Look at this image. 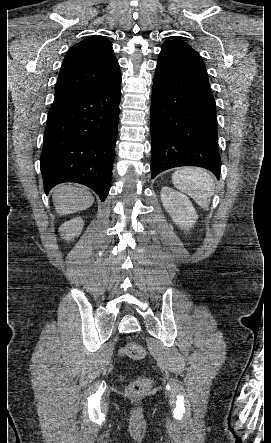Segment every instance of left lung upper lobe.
<instances>
[{"mask_svg": "<svg viewBox=\"0 0 271 443\" xmlns=\"http://www.w3.org/2000/svg\"><path fill=\"white\" fill-rule=\"evenodd\" d=\"M171 45H179V46H184V47L191 48L189 45H187L185 42L181 41L177 37H174L173 40H167L163 44V46H171Z\"/></svg>", "mask_w": 271, "mask_h": 443, "instance_id": "left-lung-upper-lobe-1", "label": "left lung upper lobe"}]
</instances>
